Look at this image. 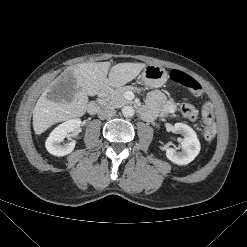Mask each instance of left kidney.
<instances>
[{
	"instance_id": "left-kidney-1",
	"label": "left kidney",
	"mask_w": 247,
	"mask_h": 247,
	"mask_svg": "<svg viewBox=\"0 0 247 247\" xmlns=\"http://www.w3.org/2000/svg\"><path fill=\"white\" fill-rule=\"evenodd\" d=\"M173 132L181 134L184 138L181 142V152L166 147V157L177 165H186L193 161L200 152V142L195 131L183 123H175Z\"/></svg>"
}]
</instances>
